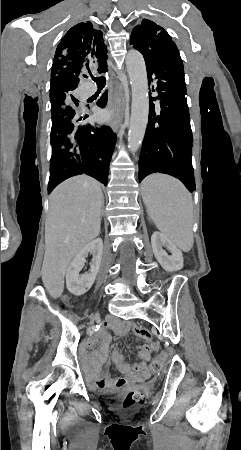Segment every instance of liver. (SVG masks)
Returning a JSON list of instances; mask_svg holds the SVG:
<instances>
[{
    "label": "liver",
    "mask_w": 241,
    "mask_h": 450,
    "mask_svg": "<svg viewBox=\"0 0 241 450\" xmlns=\"http://www.w3.org/2000/svg\"><path fill=\"white\" fill-rule=\"evenodd\" d=\"M49 200L41 276L50 296L59 298L70 262L100 232L104 198L99 182L83 174L59 184Z\"/></svg>",
    "instance_id": "1"
}]
</instances>
